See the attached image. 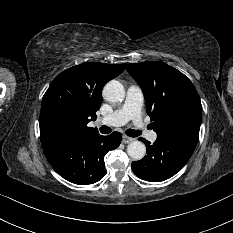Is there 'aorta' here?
I'll return each instance as SVG.
<instances>
[{"label":"aorta","instance_id":"aorta-1","mask_svg":"<svg viewBox=\"0 0 233 233\" xmlns=\"http://www.w3.org/2000/svg\"><path fill=\"white\" fill-rule=\"evenodd\" d=\"M103 97L108 102H121L125 97L123 85L116 81H109L103 88ZM127 153L133 160H141L146 155V146L140 141H133L127 146Z\"/></svg>","mask_w":233,"mask_h":233}]
</instances>
